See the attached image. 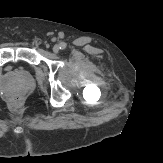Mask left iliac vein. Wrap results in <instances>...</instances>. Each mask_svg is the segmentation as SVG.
<instances>
[{
	"mask_svg": "<svg viewBox=\"0 0 163 163\" xmlns=\"http://www.w3.org/2000/svg\"><path fill=\"white\" fill-rule=\"evenodd\" d=\"M59 50H60V47H59L58 45H55V46L53 47V52H54V53H58Z\"/></svg>",
	"mask_w": 163,
	"mask_h": 163,
	"instance_id": "4c4485c4",
	"label": "left iliac vein"
}]
</instances>
